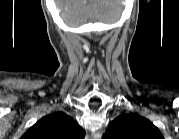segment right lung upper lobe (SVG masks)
Segmentation results:
<instances>
[{
    "mask_svg": "<svg viewBox=\"0 0 179 139\" xmlns=\"http://www.w3.org/2000/svg\"><path fill=\"white\" fill-rule=\"evenodd\" d=\"M84 130L64 112L41 118L24 135L23 139H80Z\"/></svg>",
    "mask_w": 179,
    "mask_h": 139,
    "instance_id": "1",
    "label": "right lung upper lobe"
}]
</instances>
